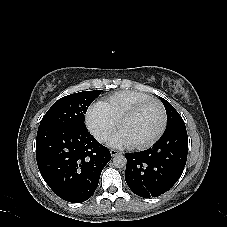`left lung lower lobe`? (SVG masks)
<instances>
[{"label":"left lung lower lobe","mask_w":227,"mask_h":227,"mask_svg":"<svg viewBox=\"0 0 227 227\" xmlns=\"http://www.w3.org/2000/svg\"><path fill=\"white\" fill-rule=\"evenodd\" d=\"M188 154L185 126L166 128L152 148L126 153L125 180L136 195L143 198L164 194L180 178Z\"/></svg>","instance_id":"left-lung-lower-lobe-1"}]
</instances>
